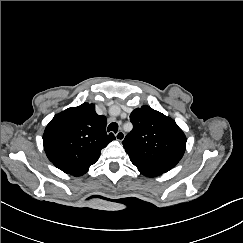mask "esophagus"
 <instances>
[{"label":"esophagus","instance_id":"esophagus-1","mask_svg":"<svg viewBox=\"0 0 243 243\" xmlns=\"http://www.w3.org/2000/svg\"><path fill=\"white\" fill-rule=\"evenodd\" d=\"M115 137L118 141H123L125 138V133L122 130H119L116 134Z\"/></svg>","mask_w":243,"mask_h":243}]
</instances>
